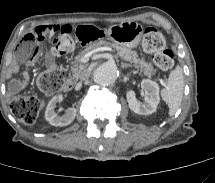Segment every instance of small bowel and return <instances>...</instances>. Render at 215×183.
<instances>
[{
	"label": "small bowel",
	"instance_id": "small-bowel-1",
	"mask_svg": "<svg viewBox=\"0 0 215 183\" xmlns=\"http://www.w3.org/2000/svg\"><path fill=\"white\" fill-rule=\"evenodd\" d=\"M70 28L69 25H60V24H44L39 25L32 29L31 31L27 32L23 38V41L20 45V53H25L27 51V48L33 44L36 40H42L46 36L54 35L61 31L62 29ZM47 65L50 67H54L55 64L51 59H47L46 61ZM18 71V65L12 64L8 69V74H13ZM28 82L27 77H23L21 79H16L12 81L10 90L12 93H16L20 91L21 89L25 88Z\"/></svg>",
	"mask_w": 215,
	"mask_h": 183
}]
</instances>
